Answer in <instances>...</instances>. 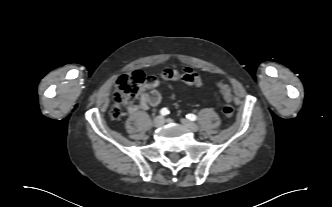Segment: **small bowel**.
<instances>
[{
  "label": "small bowel",
  "mask_w": 332,
  "mask_h": 207,
  "mask_svg": "<svg viewBox=\"0 0 332 207\" xmlns=\"http://www.w3.org/2000/svg\"><path fill=\"white\" fill-rule=\"evenodd\" d=\"M173 78L182 83L184 89L200 87L203 84L201 75L192 68H185L182 74L176 69L172 70ZM159 81L156 77H150L144 85L139 103L130 108L131 112L145 110L150 106H156L163 100L162 94L158 91Z\"/></svg>",
  "instance_id": "obj_1"
}]
</instances>
